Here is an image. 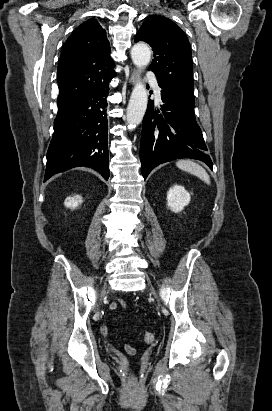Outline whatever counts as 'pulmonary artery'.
<instances>
[{"instance_id": "obj_1", "label": "pulmonary artery", "mask_w": 272, "mask_h": 411, "mask_svg": "<svg viewBox=\"0 0 272 411\" xmlns=\"http://www.w3.org/2000/svg\"><path fill=\"white\" fill-rule=\"evenodd\" d=\"M146 79L153 82V86H154L155 93H156V95L159 97V96H160V88H159V86L157 85V83H156V81H155V74H154V72H153V71L147 72V74H146Z\"/></svg>"}]
</instances>
